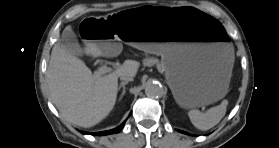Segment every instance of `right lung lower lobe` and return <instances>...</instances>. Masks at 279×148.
Returning a JSON list of instances; mask_svg holds the SVG:
<instances>
[{"instance_id":"98d812e1","label":"right lung lower lobe","mask_w":279,"mask_h":148,"mask_svg":"<svg viewBox=\"0 0 279 148\" xmlns=\"http://www.w3.org/2000/svg\"><path fill=\"white\" fill-rule=\"evenodd\" d=\"M124 124H125V121H124L120 126H118L117 128L112 129V130H108V131H102V132H97V133H86V132H82V133H83V134H91V135H107V134H114V133L119 132V131L124 127Z\"/></svg>"}]
</instances>
